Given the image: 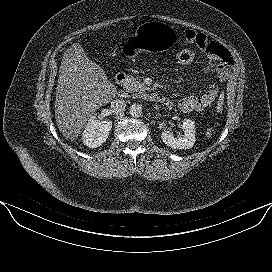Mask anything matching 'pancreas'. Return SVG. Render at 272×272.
Wrapping results in <instances>:
<instances>
[{
  "label": "pancreas",
  "mask_w": 272,
  "mask_h": 272,
  "mask_svg": "<svg viewBox=\"0 0 272 272\" xmlns=\"http://www.w3.org/2000/svg\"><path fill=\"white\" fill-rule=\"evenodd\" d=\"M143 87V84L140 83L138 78L130 77L128 82L125 84V88L127 91H138Z\"/></svg>",
  "instance_id": "1"
}]
</instances>
